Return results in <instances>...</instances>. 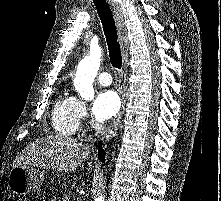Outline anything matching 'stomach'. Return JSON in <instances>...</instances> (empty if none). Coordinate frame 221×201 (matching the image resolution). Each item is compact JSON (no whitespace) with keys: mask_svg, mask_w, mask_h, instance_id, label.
<instances>
[{"mask_svg":"<svg viewBox=\"0 0 221 201\" xmlns=\"http://www.w3.org/2000/svg\"><path fill=\"white\" fill-rule=\"evenodd\" d=\"M43 174L32 166L20 165L10 170L8 189L16 195L37 191L43 183Z\"/></svg>","mask_w":221,"mask_h":201,"instance_id":"1","label":"stomach"}]
</instances>
